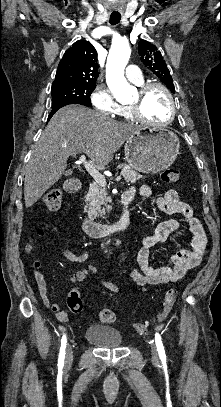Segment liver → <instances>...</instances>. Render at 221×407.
I'll return each instance as SVG.
<instances>
[{
    "instance_id": "obj_1",
    "label": "liver",
    "mask_w": 221,
    "mask_h": 407,
    "mask_svg": "<svg viewBox=\"0 0 221 407\" xmlns=\"http://www.w3.org/2000/svg\"><path fill=\"white\" fill-rule=\"evenodd\" d=\"M138 129L137 125L113 120L83 106L59 109L34 145L25 167L26 208L61 178L70 156L85 153L96 166L104 167Z\"/></svg>"
}]
</instances>
